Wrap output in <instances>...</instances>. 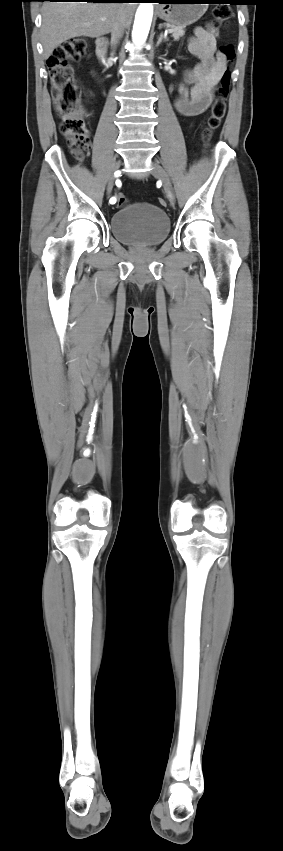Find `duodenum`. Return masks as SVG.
<instances>
[{
  "label": "duodenum",
  "mask_w": 283,
  "mask_h": 851,
  "mask_svg": "<svg viewBox=\"0 0 283 851\" xmlns=\"http://www.w3.org/2000/svg\"><path fill=\"white\" fill-rule=\"evenodd\" d=\"M96 54L101 63L104 64L107 55V40L105 38H99L96 41Z\"/></svg>",
  "instance_id": "duodenum-1"
}]
</instances>
